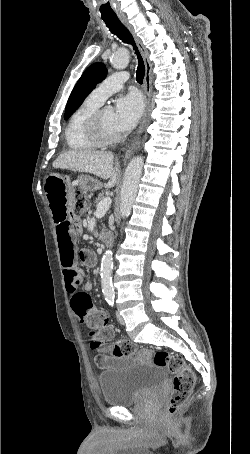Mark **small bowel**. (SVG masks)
<instances>
[{"instance_id":"1","label":"small bowel","mask_w":250,"mask_h":454,"mask_svg":"<svg viewBox=\"0 0 250 454\" xmlns=\"http://www.w3.org/2000/svg\"><path fill=\"white\" fill-rule=\"evenodd\" d=\"M73 192L69 178L51 175L45 183V193L56 225V234L63 267L67 292L70 296L71 307L81 323H87L93 315H105L92 303L89 293L93 290L90 281L82 282L83 272L78 263L86 266L95 264V255L91 250L76 251V237L82 230V221L73 217L68 218V202ZM82 285V289L80 286ZM96 363L101 368L116 364L109 357H96Z\"/></svg>"}]
</instances>
